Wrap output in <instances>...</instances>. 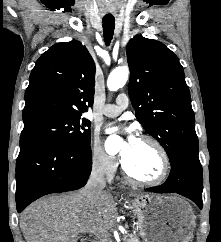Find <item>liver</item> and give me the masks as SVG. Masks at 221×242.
<instances>
[{
	"label": "liver",
	"mask_w": 221,
	"mask_h": 242,
	"mask_svg": "<svg viewBox=\"0 0 221 242\" xmlns=\"http://www.w3.org/2000/svg\"><path fill=\"white\" fill-rule=\"evenodd\" d=\"M130 196L141 195L132 192ZM117 216L110 192L89 200L82 189L32 203L20 217V228L26 242H77L80 233L113 227Z\"/></svg>",
	"instance_id": "liver-1"
}]
</instances>
